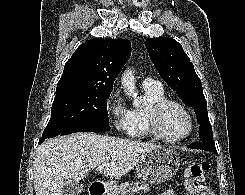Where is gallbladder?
Returning a JSON list of instances; mask_svg holds the SVG:
<instances>
[{"mask_svg": "<svg viewBox=\"0 0 245 195\" xmlns=\"http://www.w3.org/2000/svg\"><path fill=\"white\" fill-rule=\"evenodd\" d=\"M83 184L79 182L68 183L64 186L63 192L64 195H79V193L83 192Z\"/></svg>", "mask_w": 245, "mask_h": 195, "instance_id": "obj_1", "label": "gallbladder"}]
</instances>
